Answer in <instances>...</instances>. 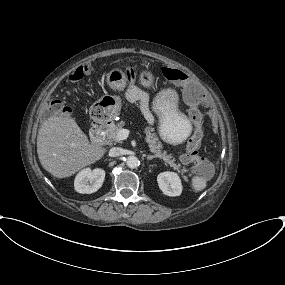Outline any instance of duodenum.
<instances>
[{"mask_svg": "<svg viewBox=\"0 0 285 285\" xmlns=\"http://www.w3.org/2000/svg\"><path fill=\"white\" fill-rule=\"evenodd\" d=\"M107 125H95L91 128L90 136L93 142L100 143L105 138Z\"/></svg>", "mask_w": 285, "mask_h": 285, "instance_id": "1", "label": "duodenum"}]
</instances>
